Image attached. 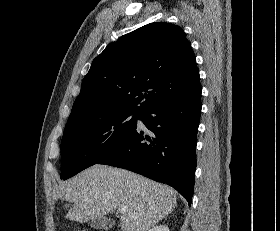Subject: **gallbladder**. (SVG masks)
Wrapping results in <instances>:
<instances>
[{
  "mask_svg": "<svg viewBox=\"0 0 280 231\" xmlns=\"http://www.w3.org/2000/svg\"><path fill=\"white\" fill-rule=\"evenodd\" d=\"M89 223L91 227H95V229H110V227L114 225V221H112L110 217H95V219H91Z\"/></svg>",
  "mask_w": 280,
  "mask_h": 231,
  "instance_id": "gallbladder-1",
  "label": "gallbladder"
}]
</instances>
